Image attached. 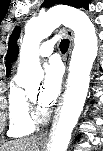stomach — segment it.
Instances as JSON below:
<instances>
[{
    "label": "stomach",
    "mask_w": 103,
    "mask_h": 151,
    "mask_svg": "<svg viewBox=\"0 0 103 151\" xmlns=\"http://www.w3.org/2000/svg\"><path fill=\"white\" fill-rule=\"evenodd\" d=\"M38 145H39V146H43V143H42V142H39Z\"/></svg>",
    "instance_id": "stomach-1"
}]
</instances>
